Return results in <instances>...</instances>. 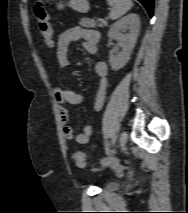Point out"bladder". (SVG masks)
<instances>
[{
    "label": "bladder",
    "mask_w": 188,
    "mask_h": 213,
    "mask_svg": "<svg viewBox=\"0 0 188 213\" xmlns=\"http://www.w3.org/2000/svg\"><path fill=\"white\" fill-rule=\"evenodd\" d=\"M118 188V184L116 182H111L106 186V190L114 191Z\"/></svg>",
    "instance_id": "bladder-1"
}]
</instances>
